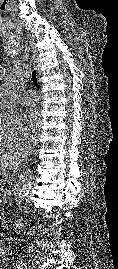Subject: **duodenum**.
Instances as JSON below:
<instances>
[{
	"label": "duodenum",
	"mask_w": 118,
	"mask_h": 269,
	"mask_svg": "<svg viewBox=\"0 0 118 269\" xmlns=\"http://www.w3.org/2000/svg\"><path fill=\"white\" fill-rule=\"evenodd\" d=\"M23 228H24V221L21 219L13 221L9 226V230L12 234L20 232Z\"/></svg>",
	"instance_id": "1"
}]
</instances>
